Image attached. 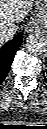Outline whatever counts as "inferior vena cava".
Instances as JSON below:
<instances>
[{
  "label": "inferior vena cava",
  "mask_w": 47,
  "mask_h": 129,
  "mask_svg": "<svg viewBox=\"0 0 47 129\" xmlns=\"http://www.w3.org/2000/svg\"><path fill=\"white\" fill-rule=\"evenodd\" d=\"M16 34V29L13 27L10 28H2L0 31V39L2 41H9L11 40Z\"/></svg>",
  "instance_id": "obj_1"
}]
</instances>
